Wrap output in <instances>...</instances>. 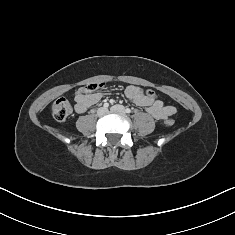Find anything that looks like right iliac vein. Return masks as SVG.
I'll return each mask as SVG.
<instances>
[{"instance_id":"right-iliac-vein-1","label":"right iliac vein","mask_w":235,"mask_h":235,"mask_svg":"<svg viewBox=\"0 0 235 235\" xmlns=\"http://www.w3.org/2000/svg\"><path fill=\"white\" fill-rule=\"evenodd\" d=\"M106 112H107V109L104 108V107H101V108H99V109L97 110V115H98V116H103V115L106 114Z\"/></svg>"}]
</instances>
